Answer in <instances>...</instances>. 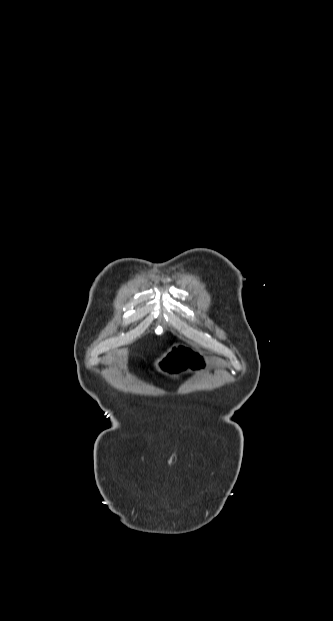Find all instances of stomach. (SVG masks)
I'll use <instances>...</instances> for the list:
<instances>
[{
	"label": "stomach",
	"mask_w": 333,
	"mask_h": 621,
	"mask_svg": "<svg viewBox=\"0 0 333 621\" xmlns=\"http://www.w3.org/2000/svg\"><path fill=\"white\" fill-rule=\"evenodd\" d=\"M200 353L198 346L188 341H181L177 345L163 352L159 357V364L165 370H172L176 376L185 377L190 372V365L194 356Z\"/></svg>",
	"instance_id": "stomach-1"
}]
</instances>
